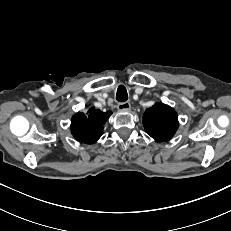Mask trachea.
<instances>
[{
  "mask_svg": "<svg viewBox=\"0 0 231 231\" xmlns=\"http://www.w3.org/2000/svg\"><path fill=\"white\" fill-rule=\"evenodd\" d=\"M116 100L119 102H125L128 100L127 90L123 85H120L117 89Z\"/></svg>",
  "mask_w": 231,
  "mask_h": 231,
  "instance_id": "3493384b",
  "label": "trachea"
}]
</instances>
